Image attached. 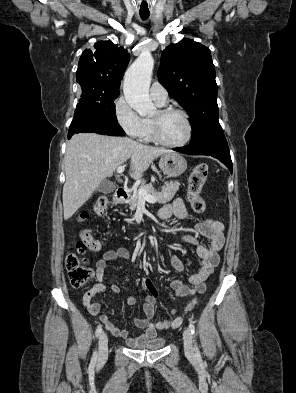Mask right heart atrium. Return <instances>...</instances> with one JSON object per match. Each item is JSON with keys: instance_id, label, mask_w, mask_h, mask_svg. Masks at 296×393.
<instances>
[{"instance_id": "obj_1", "label": "right heart atrium", "mask_w": 296, "mask_h": 393, "mask_svg": "<svg viewBox=\"0 0 296 393\" xmlns=\"http://www.w3.org/2000/svg\"><path fill=\"white\" fill-rule=\"evenodd\" d=\"M114 115L120 127L134 139L144 135V120L136 113L124 96H120L114 104Z\"/></svg>"}]
</instances>
